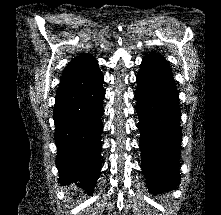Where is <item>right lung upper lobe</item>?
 Instances as JSON below:
<instances>
[{"mask_svg": "<svg viewBox=\"0 0 221 215\" xmlns=\"http://www.w3.org/2000/svg\"><path fill=\"white\" fill-rule=\"evenodd\" d=\"M98 69V62L89 54H82L75 57L65 68L61 83H66L77 78L86 76Z\"/></svg>", "mask_w": 221, "mask_h": 215, "instance_id": "cb5924a9", "label": "right lung upper lobe"}]
</instances>
